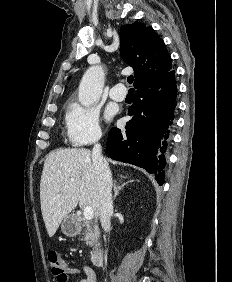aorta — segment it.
Instances as JSON below:
<instances>
[{"instance_id":"762f6f07","label":"aorta","mask_w":232,"mask_h":282,"mask_svg":"<svg viewBox=\"0 0 232 282\" xmlns=\"http://www.w3.org/2000/svg\"><path fill=\"white\" fill-rule=\"evenodd\" d=\"M104 86V70L101 66H91L84 73L78 92L79 102L88 107L97 102Z\"/></svg>"}]
</instances>
